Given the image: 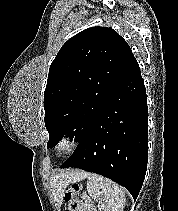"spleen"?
Segmentation results:
<instances>
[{
	"instance_id": "1",
	"label": "spleen",
	"mask_w": 178,
	"mask_h": 211,
	"mask_svg": "<svg viewBox=\"0 0 178 211\" xmlns=\"http://www.w3.org/2000/svg\"><path fill=\"white\" fill-rule=\"evenodd\" d=\"M87 178V191L98 202L100 211H123L125 193L122 188L98 174L84 173Z\"/></svg>"
}]
</instances>
